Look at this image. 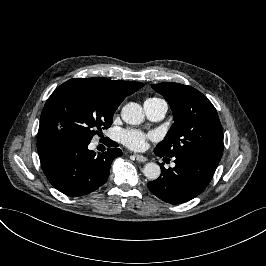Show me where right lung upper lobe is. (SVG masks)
I'll list each match as a JSON object with an SVG mask.
<instances>
[{"mask_svg":"<svg viewBox=\"0 0 266 266\" xmlns=\"http://www.w3.org/2000/svg\"><path fill=\"white\" fill-rule=\"evenodd\" d=\"M102 79L107 80L110 83V85L112 86V88L117 93H120V94L124 95L125 97L127 95L134 93L136 90H138L144 86V84L141 82L116 81V80L111 81V80L106 79V78H102ZM42 132H43L42 126L40 125L39 133H38V142H37V148H38L39 153H41L50 143H52V142H48V141L43 140Z\"/></svg>","mask_w":266,"mask_h":266,"instance_id":"1","label":"right lung upper lobe"}]
</instances>
